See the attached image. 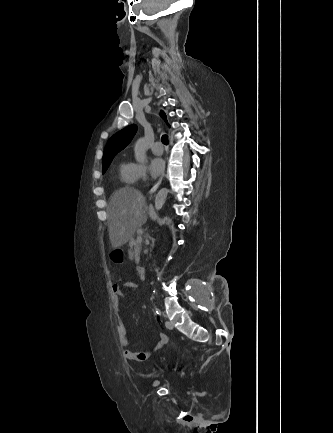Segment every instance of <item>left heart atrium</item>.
<instances>
[{
    "label": "left heart atrium",
    "instance_id": "obj_1",
    "mask_svg": "<svg viewBox=\"0 0 333 433\" xmlns=\"http://www.w3.org/2000/svg\"><path fill=\"white\" fill-rule=\"evenodd\" d=\"M165 163L162 158L156 157L151 160L150 171L151 174L156 177L159 176L164 170Z\"/></svg>",
    "mask_w": 333,
    "mask_h": 433
}]
</instances>
